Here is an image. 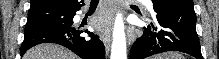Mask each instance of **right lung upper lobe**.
Segmentation results:
<instances>
[{"instance_id":"obj_1","label":"right lung upper lobe","mask_w":219,"mask_h":59,"mask_svg":"<svg viewBox=\"0 0 219 59\" xmlns=\"http://www.w3.org/2000/svg\"><path fill=\"white\" fill-rule=\"evenodd\" d=\"M80 2L78 0H31L29 12L53 8L70 10L78 6Z\"/></svg>"}]
</instances>
